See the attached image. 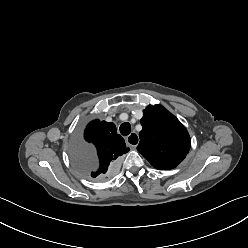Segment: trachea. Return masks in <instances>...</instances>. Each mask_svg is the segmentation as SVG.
<instances>
[{
  "mask_svg": "<svg viewBox=\"0 0 248 248\" xmlns=\"http://www.w3.org/2000/svg\"><path fill=\"white\" fill-rule=\"evenodd\" d=\"M119 130L123 136H127L131 132V125L128 122H125V123L120 125Z\"/></svg>",
  "mask_w": 248,
  "mask_h": 248,
  "instance_id": "obj_1",
  "label": "trachea"
}]
</instances>
